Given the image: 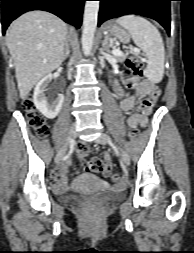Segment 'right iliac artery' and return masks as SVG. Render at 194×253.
Here are the masks:
<instances>
[{
	"label": "right iliac artery",
	"instance_id": "1",
	"mask_svg": "<svg viewBox=\"0 0 194 253\" xmlns=\"http://www.w3.org/2000/svg\"><path fill=\"white\" fill-rule=\"evenodd\" d=\"M72 146H73V141L71 142V149H70L69 153L64 157V160L70 156V154L72 152Z\"/></svg>",
	"mask_w": 194,
	"mask_h": 253
}]
</instances>
